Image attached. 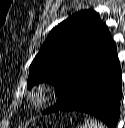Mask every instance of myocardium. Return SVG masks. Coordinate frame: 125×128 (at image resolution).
<instances>
[{
	"label": "myocardium",
	"instance_id": "f54148a6",
	"mask_svg": "<svg viewBox=\"0 0 125 128\" xmlns=\"http://www.w3.org/2000/svg\"><path fill=\"white\" fill-rule=\"evenodd\" d=\"M28 98L30 105L34 109L39 110L48 104L50 95L49 92L43 86H40L36 90L31 92Z\"/></svg>",
	"mask_w": 125,
	"mask_h": 128
}]
</instances>
